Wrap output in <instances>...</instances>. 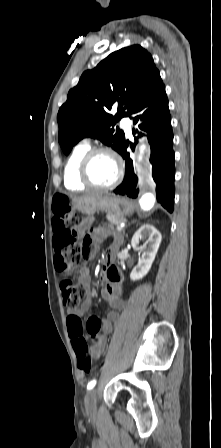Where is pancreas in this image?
<instances>
[{
	"mask_svg": "<svg viewBox=\"0 0 221 448\" xmlns=\"http://www.w3.org/2000/svg\"><path fill=\"white\" fill-rule=\"evenodd\" d=\"M107 220L112 224L115 225L116 227L120 224L125 222V218L124 217H117L115 215H110L108 214L106 216Z\"/></svg>",
	"mask_w": 221,
	"mask_h": 448,
	"instance_id": "1",
	"label": "pancreas"
}]
</instances>
